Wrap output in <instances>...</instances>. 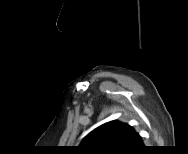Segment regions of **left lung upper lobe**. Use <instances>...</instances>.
<instances>
[{"label": "left lung upper lobe", "mask_w": 188, "mask_h": 154, "mask_svg": "<svg viewBox=\"0 0 188 154\" xmlns=\"http://www.w3.org/2000/svg\"><path fill=\"white\" fill-rule=\"evenodd\" d=\"M135 135L130 125L111 121L89 133L79 147L90 154L123 153L131 149Z\"/></svg>", "instance_id": "1"}]
</instances>
